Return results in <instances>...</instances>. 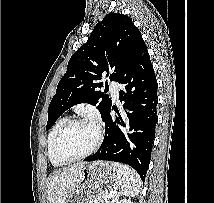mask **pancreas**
Listing matches in <instances>:
<instances>
[{"label":"pancreas","mask_w":214,"mask_h":203,"mask_svg":"<svg viewBox=\"0 0 214 203\" xmlns=\"http://www.w3.org/2000/svg\"><path fill=\"white\" fill-rule=\"evenodd\" d=\"M102 203H115V199L110 197V193L108 192L103 196Z\"/></svg>","instance_id":"pancreas-1"}]
</instances>
